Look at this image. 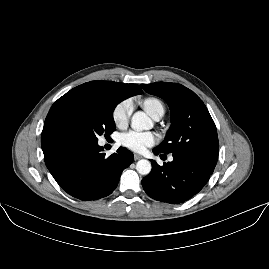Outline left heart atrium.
Returning <instances> with one entry per match:
<instances>
[{"mask_svg":"<svg viewBox=\"0 0 269 269\" xmlns=\"http://www.w3.org/2000/svg\"><path fill=\"white\" fill-rule=\"evenodd\" d=\"M158 135L152 132L128 131L119 137V143L126 149L141 153L158 142Z\"/></svg>","mask_w":269,"mask_h":269,"instance_id":"left-heart-atrium-1","label":"left heart atrium"}]
</instances>
